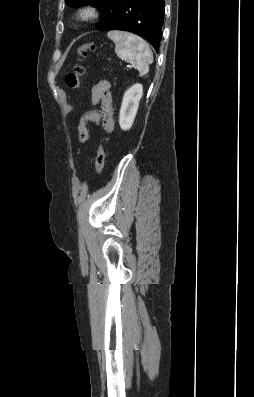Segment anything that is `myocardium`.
Segmentation results:
<instances>
[{
    "mask_svg": "<svg viewBox=\"0 0 254 397\" xmlns=\"http://www.w3.org/2000/svg\"><path fill=\"white\" fill-rule=\"evenodd\" d=\"M97 10L93 6L86 5L79 8L75 14V20L77 22H87L94 19L97 16Z\"/></svg>",
    "mask_w": 254,
    "mask_h": 397,
    "instance_id": "myocardium-1",
    "label": "myocardium"
}]
</instances>
